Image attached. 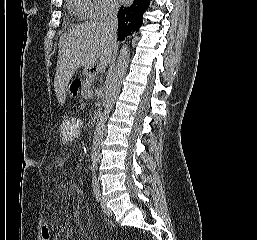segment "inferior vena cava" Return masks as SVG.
Here are the masks:
<instances>
[{
  "mask_svg": "<svg viewBox=\"0 0 257 240\" xmlns=\"http://www.w3.org/2000/svg\"><path fill=\"white\" fill-rule=\"evenodd\" d=\"M118 9L119 5L117 3H110L107 7L106 16L101 23L102 30L105 31L114 41L117 39Z\"/></svg>",
  "mask_w": 257,
  "mask_h": 240,
  "instance_id": "602c4592",
  "label": "inferior vena cava"
}]
</instances>
